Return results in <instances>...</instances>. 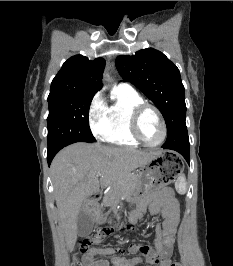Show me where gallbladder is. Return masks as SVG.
I'll return each mask as SVG.
<instances>
[{"label": "gallbladder", "mask_w": 233, "mask_h": 266, "mask_svg": "<svg viewBox=\"0 0 233 266\" xmlns=\"http://www.w3.org/2000/svg\"><path fill=\"white\" fill-rule=\"evenodd\" d=\"M93 229V217L84 208H81L77 218V235L80 237L88 236Z\"/></svg>", "instance_id": "1"}]
</instances>
